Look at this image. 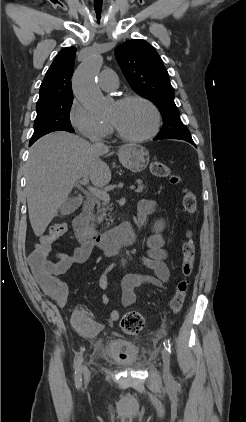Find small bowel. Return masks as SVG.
Returning <instances> with one entry per match:
<instances>
[{
	"instance_id": "1",
	"label": "small bowel",
	"mask_w": 246,
	"mask_h": 422,
	"mask_svg": "<svg viewBox=\"0 0 246 422\" xmlns=\"http://www.w3.org/2000/svg\"><path fill=\"white\" fill-rule=\"evenodd\" d=\"M155 204L150 200H142L139 203V216L142 223H145L148 216L155 211ZM165 226L163 219H158L151 225L152 235L147 240L148 252L143 257V262L147 267L152 269L155 277L131 274L126 276L121 281V302L125 307L133 305L137 296L134 289L140 286H164L170 277V271L166 264L168 257L167 251L164 249L165 241L162 236V230ZM92 252V247L82 244L76 247L72 253L59 252L55 255V260L50 261L48 275L43 278H37V283L41 290L49 298L54 300L59 306H65L68 299V286L65 282L59 279L58 276L66 273L74 264H82L88 260ZM115 268L112 264L108 266L100 275L98 284L99 287L106 291L108 288V276ZM103 303L109 302V297L104 294L102 297ZM119 312L113 310L108 316L110 322H115L119 319ZM71 322L73 327L82 336L91 338L100 332L102 324L98 322L93 314L83 307H78L72 314Z\"/></svg>"
}]
</instances>
